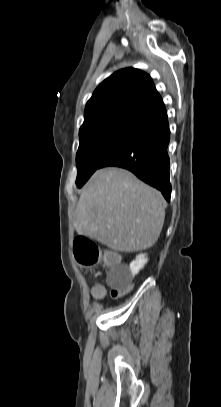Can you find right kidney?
<instances>
[{
  "instance_id": "ca27d5eb",
  "label": "right kidney",
  "mask_w": 221,
  "mask_h": 407,
  "mask_svg": "<svg viewBox=\"0 0 221 407\" xmlns=\"http://www.w3.org/2000/svg\"><path fill=\"white\" fill-rule=\"evenodd\" d=\"M147 257L145 254H140L130 263V276L129 279L133 278L147 263Z\"/></svg>"
}]
</instances>
